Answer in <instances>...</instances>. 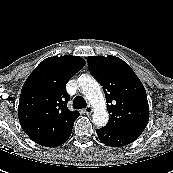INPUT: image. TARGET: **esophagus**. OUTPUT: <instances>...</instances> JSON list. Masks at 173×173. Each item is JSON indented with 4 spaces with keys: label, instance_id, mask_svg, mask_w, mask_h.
Here are the masks:
<instances>
[{
    "label": "esophagus",
    "instance_id": "1",
    "mask_svg": "<svg viewBox=\"0 0 173 173\" xmlns=\"http://www.w3.org/2000/svg\"><path fill=\"white\" fill-rule=\"evenodd\" d=\"M84 112L89 115L92 113V107L90 105H88L85 109H84Z\"/></svg>",
    "mask_w": 173,
    "mask_h": 173
}]
</instances>
